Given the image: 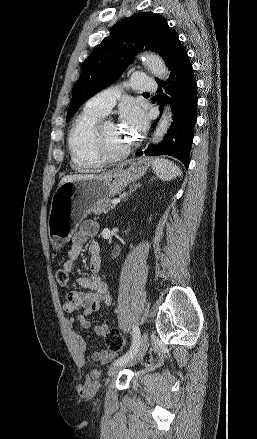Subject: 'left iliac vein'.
Instances as JSON below:
<instances>
[{"instance_id": "left-iliac-vein-1", "label": "left iliac vein", "mask_w": 257, "mask_h": 439, "mask_svg": "<svg viewBox=\"0 0 257 439\" xmlns=\"http://www.w3.org/2000/svg\"><path fill=\"white\" fill-rule=\"evenodd\" d=\"M148 346H149L148 335L146 333H143V335L139 341V345H138L136 351L134 352V354L127 361L119 363L117 365H114V367L108 371V375L114 376L122 368L136 364L140 359L143 358Z\"/></svg>"}]
</instances>
